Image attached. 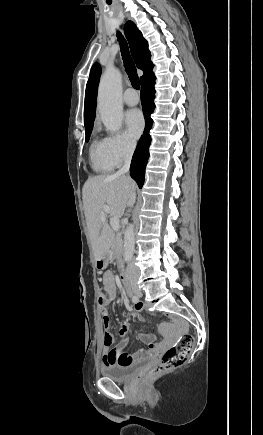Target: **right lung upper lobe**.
Returning a JSON list of instances; mask_svg holds the SVG:
<instances>
[{
	"mask_svg": "<svg viewBox=\"0 0 263 435\" xmlns=\"http://www.w3.org/2000/svg\"><path fill=\"white\" fill-rule=\"evenodd\" d=\"M124 32L129 42L132 57L137 67L143 70L144 74L140 77L142 82L148 76L152 75L153 63L151 62V53L148 50V43L143 38L142 33L132 21L126 22ZM101 67L95 63L91 69L90 77L86 86L85 104H84V123L85 131L92 129L96 111V97Z\"/></svg>",
	"mask_w": 263,
	"mask_h": 435,
	"instance_id": "1",
	"label": "right lung upper lobe"
}]
</instances>
